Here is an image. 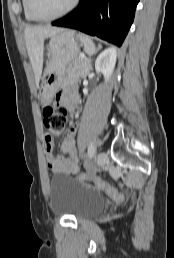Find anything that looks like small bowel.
Segmentation results:
<instances>
[{
    "label": "small bowel",
    "mask_w": 174,
    "mask_h": 258,
    "mask_svg": "<svg viewBox=\"0 0 174 258\" xmlns=\"http://www.w3.org/2000/svg\"><path fill=\"white\" fill-rule=\"evenodd\" d=\"M75 85H70L65 91L56 96V102L63 104L71 113L77 114V98ZM77 126H72L66 134L62 145L63 154H55L52 139L48 134L44 136L46 163L52 173L72 174L79 172V155L75 146Z\"/></svg>",
    "instance_id": "small-bowel-1"
}]
</instances>
